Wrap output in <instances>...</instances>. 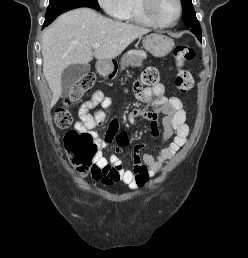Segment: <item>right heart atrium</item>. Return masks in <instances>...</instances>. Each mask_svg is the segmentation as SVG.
Listing matches in <instances>:
<instances>
[{"instance_id":"right-heart-atrium-1","label":"right heart atrium","mask_w":248,"mask_h":258,"mask_svg":"<svg viewBox=\"0 0 248 258\" xmlns=\"http://www.w3.org/2000/svg\"><path fill=\"white\" fill-rule=\"evenodd\" d=\"M97 1L109 16L114 18H121L125 11L127 0H97Z\"/></svg>"}]
</instances>
